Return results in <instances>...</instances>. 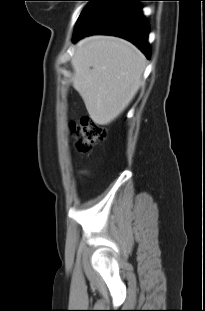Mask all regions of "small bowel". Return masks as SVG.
Listing matches in <instances>:
<instances>
[{"label": "small bowel", "mask_w": 205, "mask_h": 311, "mask_svg": "<svg viewBox=\"0 0 205 311\" xmlns=\"http://www.w3.org/2000/svg\"><path fill=\"white\" fill-rule=\"evenodd\" d=\"M81 173L84 174V175H88L87 171H82Z\"/></svg>", "instance_id": "obj_1"}]
</instances>
